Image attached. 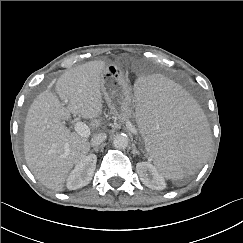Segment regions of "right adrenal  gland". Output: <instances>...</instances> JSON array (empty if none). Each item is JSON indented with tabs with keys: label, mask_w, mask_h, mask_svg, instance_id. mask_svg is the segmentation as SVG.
Instances as JSON below:
<instances>
[{
	"label": "right adrenal gland",
	"mask_w": 243,
	"mask_h": 243,
	"mask_svg": "<svg viewBox=\"0 0 243 243\" xmlns=\"http://www.w3.org/2000/svg\"><path fill=\"white\" fill-rule=\"evenodd\" d=\"M94 151H95V152H98V151H99V148H98V147L93 148V149L91 150V153L94 152Z\"/></svg>",
	"instance_id": "2a0ac1e0"
}]
</instances>
